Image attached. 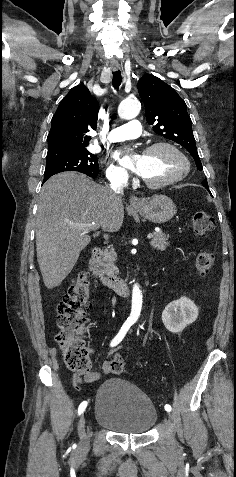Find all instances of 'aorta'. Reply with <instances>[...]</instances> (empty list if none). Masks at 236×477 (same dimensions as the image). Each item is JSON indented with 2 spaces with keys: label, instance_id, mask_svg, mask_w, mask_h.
Instances as JSON below:
<instances>
[{
  "label": "aorta",
  "instance_id": "1",
  "mask_svg": "<svg viewBox=\"0 0 236 477\" xmlns=\"http://www.w3.org/2000/svg\"><path fill=\"white\" fill-rule=\"evenodd\" d=\"M141 109V104L136 98L123 100L118 107V114L123 119L135 118ZM142 291L138 284H134L132 289V306L130 317L137 320L142 309Z\"/></svg>",
  "mask_w": 236,
  "mask_h": 477
}]
</instances>
